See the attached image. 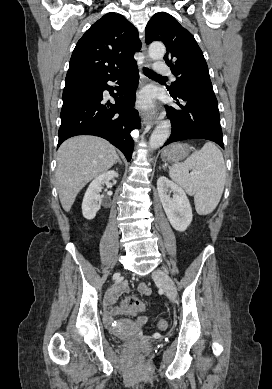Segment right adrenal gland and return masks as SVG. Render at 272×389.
<instances>
[{"label":"right adrenal gland","instance_id":"1","mask_svg":"<svg viewBox=\"0 0 272 389\" xmlns=\"http://www.w3.org/2000/svg\"><path fill=\"white\" fill-rule=\"evenodd\" d=\"M117 162H118L119 164H122V162H121V160H120L119 156H117L116 163H117ZM116 163H115V164H116Z\"/></svg>","mask_w":272,"mask_h":389}]
</instances>
